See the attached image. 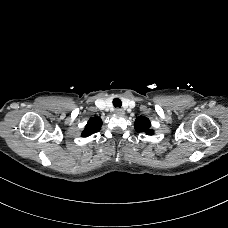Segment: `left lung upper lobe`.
Masks as SVG:
<instances>
[{
	"label": "left lung upper lobe",
	"instance_id": "5c2ea615",
	"mask_svg": "<svg viewBox=\"0 0 228 228\" xmlns=\"http://www.w3.org/2000/svg\"><path fill=\"white\" fill-rule=\"evenodd\" d=\"M134 127L137 132H145L148 135H152L154 131L150 129L151 122L148 118L140 116L135 120Z\"/></svg>",
	"mask_w": 228,
	"mask_h": 228
}]
</instances>
